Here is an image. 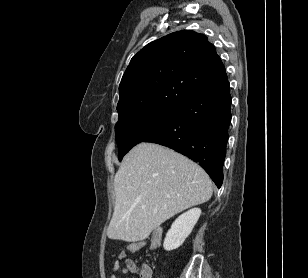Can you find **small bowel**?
Listing matches in <instances>:
<instances>
[{"mask_svg": "<svg viewBox=\"0 0 308 278\" xmlns=\"http://www.w3.org/2000/svg\"><path fill=\"white\" fill-rule=\"evenodd\" d=\"M142 247V246H141ZM127 253L125 251H121L117 257V259L114 261L113 267H112V272L110 274V278H116L115 272L119 269L120 267V261L123 259H126ZM131 265L134 266L132 262H129V268L135 269L131 267ZM138 274L140 278H152V269L148 265H144L138 270Z\"/></svg>", "mask_w": 308, "mask_h": 278, "instance_id": "1", "label": "small bowel"}]
</instances>
